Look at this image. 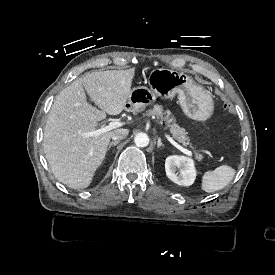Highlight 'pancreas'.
<instances>
[{"label": "pancreas", "instance_id": "1", "mask_svg": "<svg viewBox=\"0 0 275 275\" xmlns=\"http://www.w3.org/2000/svg\"><path fill=\"white\" fill-rule=\"evenodd\" d=\"M146 116H155L158 120L166 121L165 128L171 132L173 138L183 145L188 144L187 132L176 123L175 115L169 109L164 110L161 105H155L146 113Z\"/></svg>", "mask_w": 275, "mask_h": 275}]
</instances>
